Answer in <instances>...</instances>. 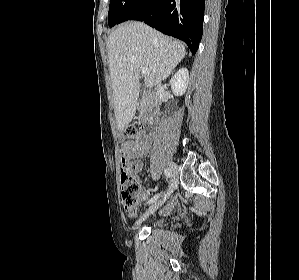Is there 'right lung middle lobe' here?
Masks as SVG:
<instances>
[{"label": "right lung middle lobe", "instance_id": "right-lung-middle-lobe-1", "mask_svg": "<svg viewBox=\"0 0 299 280\" xmlns=\"http://www.w3.org/2000/svg\"><path fill=\"white\" fill-rule=\"evenodd\" d=\"M137 0H111L108 13V24L113 27L121 22L124 14L134 5Z\"/></svg>", "mask_w": 299, "mask_h": 280}]
</instances>
